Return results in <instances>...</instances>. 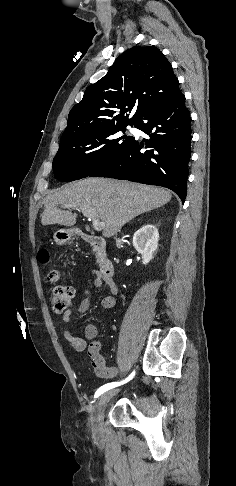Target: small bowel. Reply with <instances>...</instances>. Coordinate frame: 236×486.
<instances>
[{
    "label": "small bowel",
    "mask_w": 236,
    "mask_h": 486,
    "mask_svg": "<svg viewBox=\"0 0 236 486\" xmlns=\"http://www.w3.org/2000/svg\"><path fill=\"white\" fill-rule=\"evenodd\" d=\"M95 276V284L96 286H101L102 284H106L109 287L111 292L110 296L104 297L101 301V305L105 308H112L115 304L114 295L117 293V287L114 281L110 279L104 278L102 275L99 274L98 271H93ZM91 301V294L88 290L84 291V297L79 303L78 312L85 313L90 307ZM62 320L64 322L65 329H64V336L66 340L69 342L71 347L77 351L82 352L87 349L88 354L91 358L92 365L95 369L96 374L100 378L110 379L113 378L118 369L115 366H107L105 364V360L100 354V343L98 341L92 342L89 346H87V342L85 339L76 335L74 329L71 326L72 320V311L67 310L62 315ZM97 335V327L94 324H88L85 327V338L87 340H93Z\"/></svg>",
    "instance_id": "obj_1"
}]
</instances>
